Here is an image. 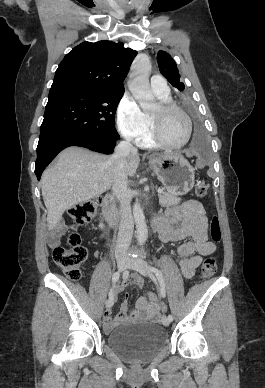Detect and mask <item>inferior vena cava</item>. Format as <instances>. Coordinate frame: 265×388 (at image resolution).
I'll list each match as a JSON object with an SVG mask.
<instances>
[{"label": "inferior vena cava", "mask_w": 265, "mask_h": 388, "mask_svg": "<svg viewBox=\"0 0 265 388\" xmlns=\"http://www.w3.org/2000/svg\"><path fill=\"white\" fill-rule=\"evenodd\" d=\"M131 152L137 154V148H133L130 142H120L115 148L112 156L114 164V184L112 192L116 196L121 210V222L118 232V240L115 248V256H125L131 244L133 236V216L130 202L132 200L131 192L128 188V162L127 158Z\"/></svg>", "instance_id": "inferior-vena-cava-1"}]
</instances>
